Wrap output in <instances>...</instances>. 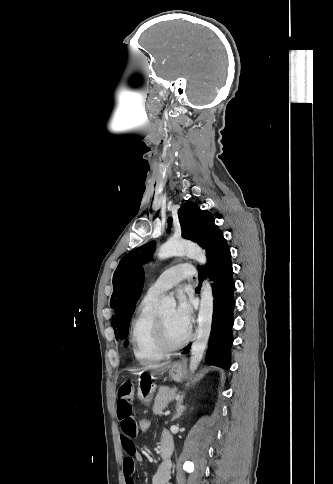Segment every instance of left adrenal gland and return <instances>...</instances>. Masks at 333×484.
Wrapping results in <instances>:
<instances>
[{
  "instance_id": "1",
  "label": "left adrenal gland",
  "mask_w": 333,
  "mask_h": 484,
  "mask_svg": "<svg viewBox=\"0 0 333 484\" xmlns=\"http://www.w3.org/2000/svg\"><path fill=\"white\" fill-rule=\"evenodd\" d=\"M185 409L186 407L182 404V398H181L176 405V413L173 416L172 421H174L175 419H178L185 411Z\"/></svg>"
}]
</instances>
